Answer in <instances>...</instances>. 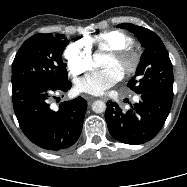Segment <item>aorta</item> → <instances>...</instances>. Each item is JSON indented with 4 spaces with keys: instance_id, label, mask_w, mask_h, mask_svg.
<instances>
[{
    "instance_id": "1",
    "label": "aorta",
    "mask_w": 187,
    "mask_h": 187,
    "mask_svg": "<svg viewBox=\"0 0 187 187\" xmlns=\"http://www.w3.org/2000/svg\"><path fill=\"white\" fill-rule=\"evenodd\" d=\"M95 60L98 61V56L97 55L95 56ZM92 110L95 113H99V114L105 112V110H106V104H105V102L101 101V100H96L92 104Z\"/></svg>"
}]
</instances>
